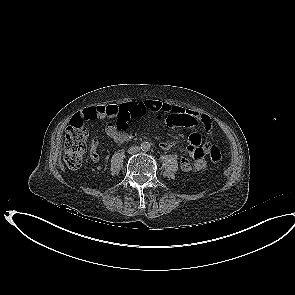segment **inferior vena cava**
<instances>
[{
    "label": "inferior vena cava",
    "mask_w": 295,
    "mask_h": 295,
    "mask_svg": "<svg viewBox=\"0 0 295 295\" xmlns=\"http://www.w3.org/2000/svg\"><path fill=\"white\" fill-rule=\"evenodd\" d=\"M139 151H140V147L139 146H131L128 149V153L129 154H135V153H138Z\"/></svg>",
    "instance_id": "1"
}]
</instances>
